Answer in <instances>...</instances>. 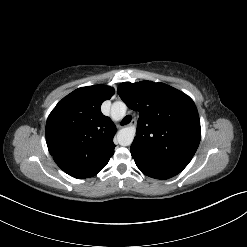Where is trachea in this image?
Returning a JSON list of instances; mask_svg holds the SVG:
<instances>
[{
    "mask_svg": "<svg viewBox=\"0 0 247 247\" xmlns=\"http://www.w3.org/2000/svg\"><path fill=\"white\" fill-rule=\"evenodd\" d=\"M131 119L132 118L130 115L125 116L124 119L121 121V125H127L128 123H130Z\"/></svg>",
    "mask_w": 247,
    "mask_h": 247,
    "instance_id": "3493384b",
    "label": "trachea"
}]
</instances>
